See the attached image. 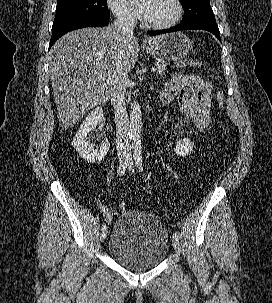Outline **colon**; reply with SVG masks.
<instances>
[{
    "label": "colon",
    "mask_w": 272,
    "mask_h": 303,
    "mask_svg": "<svg viewBox=\"0 0 272 303\" xmlns=\"http://www.w3.org/2000/svg\"><path fill=\"white\" fill-rule=\"evenodd\" d=\"M201 65H202V62L199 61V60H195V59H192V58H181V59L176 60L173 63V69L175 71H181V70H184V69H187V68L198 67V66H201ZM217 103H218L219 108L222 109L223 106H224V94L221 91H219L217 93ZM125 208H126L125 204L121 203L120 204V209L122 211H124Z\"/></svg>",
    "instance_id": "5ec220e1"
}]
</instances>
